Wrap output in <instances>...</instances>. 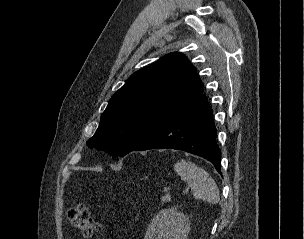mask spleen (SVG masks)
I'll return each mask as SVG.
<instances>
[{
  "instance_id": "spleen-1",
  "label": "spleen",
  "mask_w": 304,
  "mask_h": 239,
  "mask_svg": "<svg viewBox=\"0 0 304 239\" xmlns=\"http://www.w3.org/2000/svg\"><path fill=\"white\" fill-rule=\"evenodd\" d=\"M177 174L191 188L195 199L217 204L219 189L214 179L202 168L190 161L180 160L174 164Z\"/></svg>"
}]
</instances>
